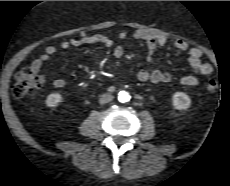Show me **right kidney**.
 <instances>
[{"label":"right kidney","instance_id":"ca27d5eb","mask_svg":"<svg viewBox=\"0 0 230 186\" xmlns=\"http://www.w3.org/2000/svg\"><path fill=\"white\" fill-rule=\"evenodd\" d=\"M61 101H62V96L59 93H53L48 95L45 102L48 107H55Z\"/></svg>","mask_w":230,"mask_h":186}]
</instances>
